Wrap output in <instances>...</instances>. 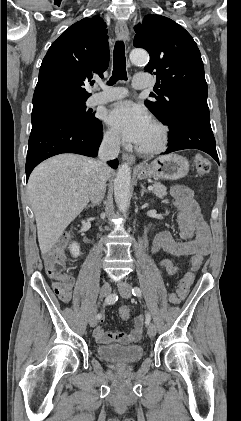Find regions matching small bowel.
<instances>
[{
    "label": "small bowel",
    "mask_w": 241,
    "mask_h": 421,
    "mask_svg": "<svg viewBox=\"0 0 241 421\" xmlns=\"http://www.w3.org/2000/svg\"><path fill=\"white\" fill-rule=\"evenodd\" d=\"M171 194L179 210L178 225L182 241H176L167 231L160 232L152 244V252L160 251L174 257H193L207 255L211 249V235L207 223L202 218L199 206L193 197L192 191L185 186H174ZM73 280L70 284L58 288L56 294L63 302L72 299ZM175 293L170 295L172 304L180 303ZM144 317H135L133 328L129 333L105 331L101 326L94 329V337L98 343H137L142 335Z\"/></svg>",
    "instance_id": "small-bowel-1"
}]
</instances>
